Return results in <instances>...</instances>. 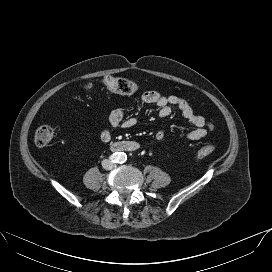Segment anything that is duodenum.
I'll use <instances>...</instances> for the list:
<instances>
[{
	"instance_id": "obj_1",
	"label": "duodenum",
	"mask_w": 272,
	"mask_h": 272,
	"mask_svg": "<svg viewBox=\"0 0 272 272\" xmlns=\"http://www.w3.org/2000/svg\"><path fill=\"white\" fill-rule=\"evenodd\" d=\"M139 149L138 143L134 141H120L111 145L112 151H122L126 153L136 152Z\"/></svg>"
}]
</instances>
